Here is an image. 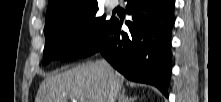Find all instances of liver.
Here are the masks:
<instances>
[{
	"instance_id": "obj_1",
	"label": "liver",
	"mask_w": 221,
	"mask_h": 102,
	"mask_svg": "<svg viewBox=\"0 0 221 102\" xmlns=\"http://www.w3.org/2000/svg\"><path fill=\"white\" fill-rule=\"evenodd\" d=\"M112 70L114 85L119 92L123 79ZM111 77L99 63L76 66L60 74L48 76L40 85L35 102H67L84 97L88 102H108Z\"/></svg>"
}]
</instances>
